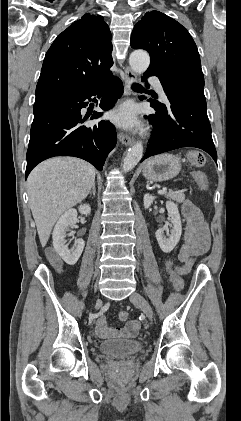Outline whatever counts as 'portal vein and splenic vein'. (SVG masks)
<instances>
[{
    "label": "portal vein and splenic vein",
    "mask_w": 241,
    "mask_h": 421,
    "mask_svg": "<svg viewBox=\"0 0 241 421\" xmlns=\"http://www.w3.org/2000/svg\"><path fill=\"white\" fill-rule=\"evenodd\" d=\"M166 192V190L165 189H162V190H159L158 191V193H160V194H164Z\"/></svg>",
    "instance_id": "1"
}]
</instances>
